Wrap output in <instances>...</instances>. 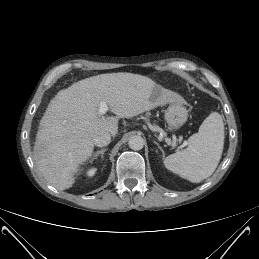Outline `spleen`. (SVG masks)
I'll use <instances>...</instances> for the list:
<instances>
[{
  "mask_svg": "<svg viewBox=\"0 0 259 259\" xmlns=\"http://www.w3.org/2000/svg\"><path fill=\"white\" fill-rule=\"evenodd\" d=\"M224 147L222 116L211 113L188 139V147L167 156L165 167L192 183L210 177L217 168Z\"/></svg>",
  "mask_w": 259,
  "mask_h": 259,
  "instance_id": "3e777b00",
  "label": "spleen"
}]
</instances>
